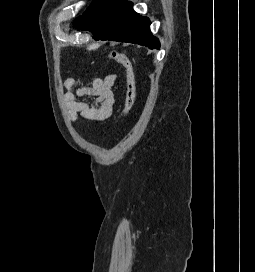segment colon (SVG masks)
I'll return each instance as SVG.
<instances>
[{
	"label": "colon",
	"mask_w": 255,
	"mask_h": 272,
	"mask_svg": "<svg viewBox=\"0 0 255 272\" xmlns=\"http://www.w3.org/2000/svg\"><path fill=\"white\" fill-rule=\"evenodd\" d=\"M109 57L118 65L122 66L126 72V96L123 111V116L126 117L131 112L135 103L136 89L134 69L129 57L123 52L112 51Z\"/></svg>",
	"instance_id": "obj_1"
}]
</instances>
